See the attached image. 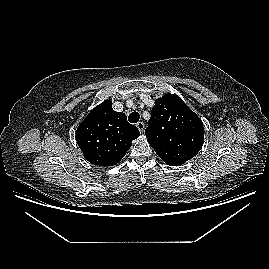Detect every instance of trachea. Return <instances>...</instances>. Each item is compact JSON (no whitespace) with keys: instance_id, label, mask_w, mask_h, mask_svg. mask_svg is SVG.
I'll list each match as a JSON object with an SVG mask.
<instances>
[{"instance_id":"trachea-1","label":"trachea","mask_w":269,"mask_h":269,"mask_svg":"<svg viewBox=\"0 0 269 269\" xmlns=\"http://www.w3.org/2000/svg\"><path fill=\"white\" fill-rule=\"evenodd\" d=\"M140 119V114L138 112H132L129 116H128V120L130 123H137Z\"/></svg>"}]
</instances>
